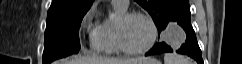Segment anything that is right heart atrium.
Masks as SVG:
<instances>
[{"instance_id": "1", "label": "right heart atrium", "mask_w": 242, "mask_h": 64, "mask_svg": "<svg viewBox=\"0 0 242 64\" xmlns=\"http://www.w3.org/2000/svg\"><path fill=\"white\" fill-rule=\"evenodd\" d=\"M92 10H90L83 18L82 20V26L86 29L87 32H89L91 38L94 36V34L98 31L99 25H93L92 21Z\"/></svg>"}]
</instances>
